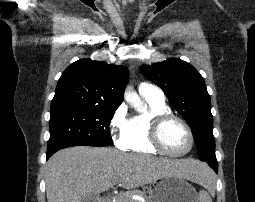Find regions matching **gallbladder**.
Segmentation results:
<instances>
[{
    "label": "gallbladder",
    "instance_id": "bac80fb5",
    "mask_svg": "<svg viewBox=\"0 0 255 202\" xmlns=\"http://www.w3.org/2000/svg\"><path fill=\"white\" fill-rule=\"evenodd\" d=\"M98 196L95 194L88 193L83 197L82 202H97Z\"/></svg>",
    "mask_w": 255,
    "mask_h": 202
}]
</instances>
